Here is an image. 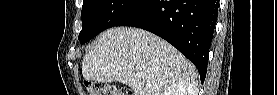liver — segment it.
Listing matches in <instances>:
<instances>
[{"instance_id": "obj_1", "label": "liver", "mask_w": 277, "mask_h": 95, "mask_svg": "<svg viewBox=\"0 0 277 95\" xmlns=\"http://www.w3.org/2000/svg\"><path fill=\"white\" fill-rule=\"evenodd\" d=\"M82 75L88 81L121 82L135 95H162L179 82L197 93L194 65L165 40L138 28L103 32L83 57Z\"/></svg>"}]
</instances>
